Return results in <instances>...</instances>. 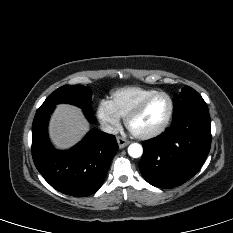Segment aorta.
Returning a JSON list of instances; mask_svg holds the SVG:
<instances>
[{
  "instance_id": "762f6f07",
  "label": "aorta",
  "mask_w": 233,
  "mask_h": 233,
  "mask_svg": "<svg viewBox=\"0 0 233 233\" xmlns=\"http://www.w3.org/2000/svg\"><path fill=\"white\" fill-rule=\"evenodd\" d=\"M128 154L132 157V158H139L142 156L143 154V148L140 144L138 143H132L129 145L128 147Z\"/></svg>"
}]
</instances>
